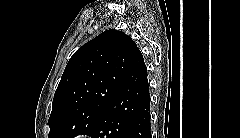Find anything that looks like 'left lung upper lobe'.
<instances>
[{
  "instance_id": "left-lung-upper-lobe-1",
  "label": "left lung upper lobe",
  "mask_w": 240,
  "mask_h": 138,
  "mask_svg": "<svg viewBox=\"0 0 240 138\" xmlns=\"http://www.w3.org/2000/svg\"><path fill=\"white\" fill-rule=\"evenodd\" d=\"M139 53L128 35L113 29L80 47L54 94L48 138L90 135Z\"/></svg>"
}]
</instances>
